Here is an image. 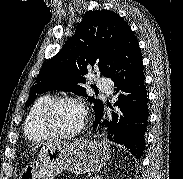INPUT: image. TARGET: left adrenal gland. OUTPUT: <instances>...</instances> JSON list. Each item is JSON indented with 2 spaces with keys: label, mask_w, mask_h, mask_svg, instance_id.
Segmentation results:
<instances>
[{
  "label": "left adrenal gland",
  "mask_w": 183,
  "mask_h": 179,
  "mask_svg": "<svg viewBox=\"0 0 183 179\" xmlns=\"http://www.w3.org/2000/svg\"><path fill=\"white\" fill-rule=\"evenodd\" d=\"M90 179H102V175H97V176H94V177H92V178H90Z\"/></svg>",
  "instance_id": "a2214340"
}]
</instances>
